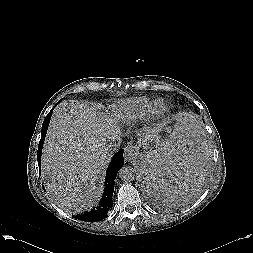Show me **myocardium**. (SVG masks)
I'll return each mask as SVG.
<instances>
[{"instance_id": "f54148a6", "label": "myocardium", "mask_w": 253, "mask_h": 253, "mask_svg": "<svg viewBox=\"0 0 253 253\" xmlns=\"http://www.w3.org/2000/svg\"><path fill=\"white\" fill-rule=\"evenodd\" d=\"M166 110L167 106L165 101L163 99H156L150 104L146 116L153 120L159 119L165 114Z\"/></svg>"}]
</instances>
